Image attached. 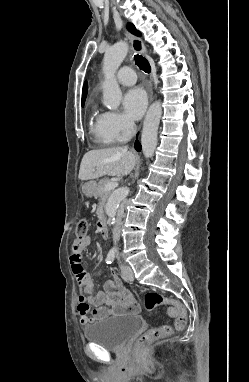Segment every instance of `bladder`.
Here are the masks:
<instances>
[{
    "label": "bladder",
    "mask_w": 249,
    "mask_h": 382,
    "mask_svg": "<svg viewBox=\"0 0 249 382\" xmlns=\"http://www.w3.org/2000/svg\"><path fill=\"white\" fill-rule=\"evenodd\" d=\"M142 319L126 314L95 321L83 330L86 341L110 351L121 350L126 342L142 327Z\"/></svg>",
    "instance_id": "bladder-1"
}]
</instances>
